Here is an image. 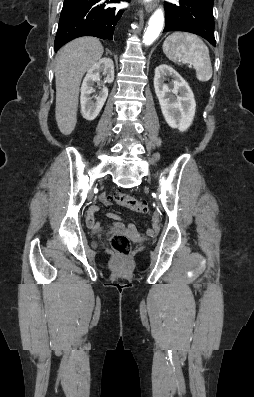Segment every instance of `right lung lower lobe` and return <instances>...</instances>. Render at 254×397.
<instances>
[{
    "instance_id": "1",
    "label": "right lung lower lobe",
    "mask_w": 254,
    "mask_h": 397,
    "mask_svg": "<svg viewBox=\"0 0 254 397\" xmlns=\"http://www.w3.org/2000/svg\"><path fill=\"white\" fill-rule=\"evenodd\" d=\"M106 2L119 3L120 0ZM122 15L123 10L106 7L103 0H64L54 43L55 51L81 36L113 39Z\"/></svg>"
}]
</instances>
